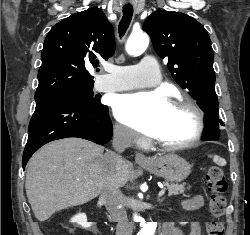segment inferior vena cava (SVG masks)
Returning <instances> with one entry per match:
<instances>
[{
    "label": "inferior vena cava",
    "instance_id": "602c4592",
    "mask_svg": "<svg viewBox=\"0 0 250 235\" xmlns=\"http://www.w3.org/2000/svg\"><path fill=\"white\" fill-rule=\"evenodd\" d=\"M133 132L122 126H115L113 130L112 145L115 151H109L103 155L105 163V176L112 177L117 165L123 161L121 153L132 144ZM100 199L104 202L112 219L117 222L116 235H132L133 224L129 222L124 208L118 207L121 192L114 183L101 181Z\"/></svg>",
    "mask_w": 250,
    "mask_h": 235
}]
</instances>
